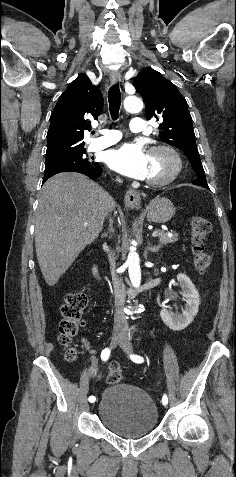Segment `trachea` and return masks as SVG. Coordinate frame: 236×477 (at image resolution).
<instances>
[{
	"mask_svg": "<svg viewBox=\"0 0 236 477\" xmlns=\"http://www.w3.org/2000/svg\"><path fill=\"white\" fill-rule=\"evenodd\" d=\"M109 111L113 120H117L119 116V109L121 105V93L119 85H113L108 92ZM94 133V131H93Z\"/></svg>",
	"mask_w": 236,
	"mask_h": 477,
	"instance_id": "trachea-1",
	"label": "trachea"
}]
</instances>
